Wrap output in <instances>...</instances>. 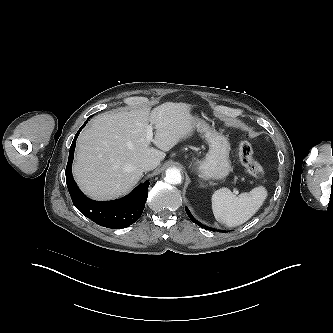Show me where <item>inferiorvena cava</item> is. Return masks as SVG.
I'll list each match as a JSON object with an SVG mask.
<instances>
[{
    "instance_id": "obj_1",
    "label": "inferior vena cava",
    "mask_w": 333,
    "mask_h": 333,
    "mask_svg": "<svg viewBox=\"0 0 333 333\" xmlns=\"http://www.w3.org/2000/svg\"><path fill=\"white\" fill-rule=\"evenodd\" d=\"M159 165V161L156 159H146L141 163V169L143 171H149L155 169Z\"/></svg>"
}]
</instances>
